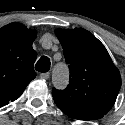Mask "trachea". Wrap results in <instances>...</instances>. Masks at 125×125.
Segmentation results:
<instances>
[{"label":"trachea","mask_w":125,"mask_h":125,"mask_svg":"<svg viewBox=\"0 0 125 125\" xmlns=\"http://www.w3.org/2000/svg\"><path fill=\"white\" fill-rule=\"evenodd\" d=\"M50 59L46 56H42L36 63L35 69L39 72L45 73L50 69Z\"/></svg>","instance_id":"obj_1"}]
</instances>
